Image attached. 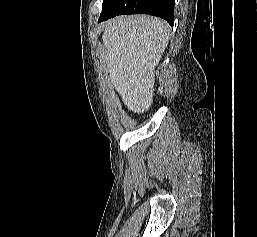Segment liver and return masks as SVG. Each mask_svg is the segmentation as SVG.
<instances>
[{"mask_svg": "<svg viewBox=\"0 0 257 237\" xmlns=\"http://www.w3.org/2000/svg\"><path fill=\"white\" fill-rule=\"evenodd\" d=\"M105 61L113 87L129 110L147 111L154 96V69L168 45L170 27L147 15L120 16L102 25Z\"/></svg>", "mask_w": 257, "mask_h": 237, "instance_id": "liver-1", "label": "liver"}]
</instances>
